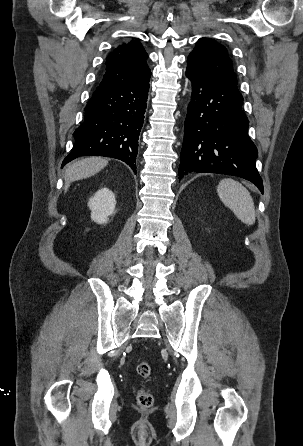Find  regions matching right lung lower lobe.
<instances>
[{
  "mask_svg": "<svg viewBox=\"0 0 303 446\" xmlns=\"http://www.w3.org/2000/svg\"><path fill=\"white\" fill-rule=\"evenodd\" d=\"M150 75L93 93L84 121L73 134L75 144L62 166L80 156H105L124 161L136 172Z\"/></svg>",
  "mask_w": 303,
  "mask_h": 446,
  "instance_id": "98d812e1",
  "label": "right lung lower lobe"
}]
</instances>
